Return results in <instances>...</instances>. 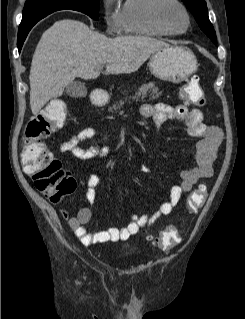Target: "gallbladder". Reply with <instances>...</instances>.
Listing matches in <instances>:
<instances>
[{
    "instance_id": "gallbladder-1",
    "label": "gallbladder",
    "mask_w": 245,
    "mask_h": 319,
    "mask_svg": "<svg viewBox=\"0 0 245 319\" xmlns=\"http://www.w3.org/2000/svg\"><path fill=\"white\" fill-rule=\"evenodd\" d=\"M67 95L70 97H84L87 94V90L84 83L79 81H73L66 86L65 89Z\"/></svg>"
}]
</instances>
